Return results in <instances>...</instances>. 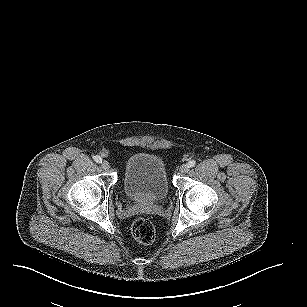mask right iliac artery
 I'll return each instance as SVG.
<instances>
[{
  "label": "right iliac artery",
  "instance_id": "1",
  "mask_svg": "<svg viewBox=\"0 0 307 307\" xmlns=\"http://www.w3.org/2000/svg\"><path fill=\"white\" fill-rule=\"evenodd\" d=\"M94 160L97 162V163H102V158L100 156H95L94 157Z\"/></svg>",
  "mask_w": 307,
  "mask_h": 307
}]
</instances>
